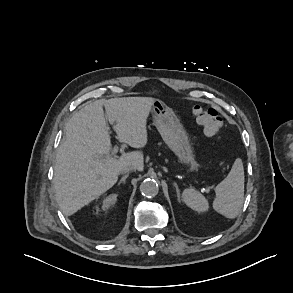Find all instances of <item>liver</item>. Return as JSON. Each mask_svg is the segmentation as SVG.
Instances as JSON below:
<instances>
[{
  "instance_id": "obj_1",
  "label": "liver",
  "mask_w": 293,
  "mask_h": 293,
  "mask_svg": "<svg viewBox=\"0 0 293 293\" xmlns=\"http://www.w3.org/2000/svg\"><path fill=\"white\" fill-rule=\"evenodd\" d=\"M154 101L150 97L96 100L67 122L66 140L57 149L53 179L56 201L64 215H73L113 187L122 166L133 164L143 171L142 152L124 153L118 159L109 154L107 121L115 124L120 142L143 148L148 141L147 118Z\"/></svg>"
}]
</instances>
